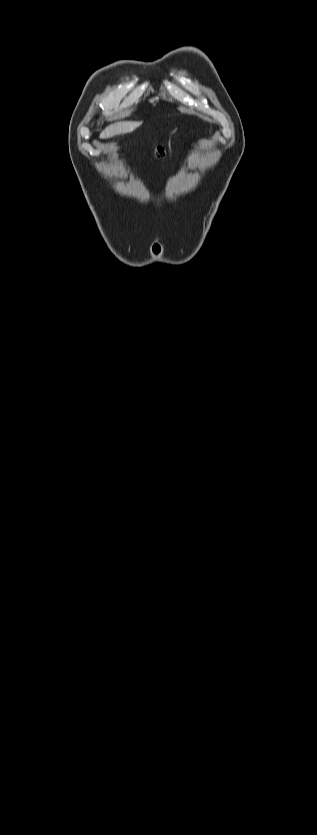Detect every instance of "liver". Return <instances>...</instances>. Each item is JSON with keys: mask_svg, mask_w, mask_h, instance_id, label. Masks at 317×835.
I'll use <instances>...</instances> for the list:
<instances>
[{"mask_svg": "<svg viewBox=\"0 0 317 835\" xmlns=\"http://www.w3.org/2000/svg\"><path fill=\"white\" fill-rule=\"evenodd\" d=\"M142 124V121H122L116 122L114 124L109 125L106 127L100 134L101 139H108L112 138L113 136L119 134H126L133 132L137 127Z\"/></svg>", "mask_w": 317, "mask_h": 835, "instance_id": "liver-1", "label": "liver"}]
</instances>
